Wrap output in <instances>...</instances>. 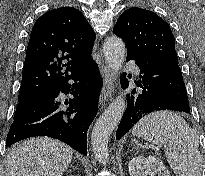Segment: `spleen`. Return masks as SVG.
<instances>
[{"label": "spleen", "mask_w": 205, "mask_h": 176, "mask_svg": "<svg viewBox=\"0 0 205 176\" xmlns=\"http://www.w3.org/2000/svg\"><path fill=\"white\" fill-rule=\"evenodd\" d=\"M132 134L164 145L167 161L176 176H201L198 135L178 114L171 111L151 113L136 123Z\"/></svg>", "instance_id": "obj_1"}]
</instances>
